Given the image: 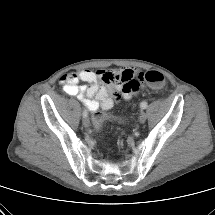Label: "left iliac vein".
Wrapping results in <instances>:
<instances>
[{"mask_svg": "<svg viewBox=\"0 0 215 215\" xmlns=\"http://www.w3.org/2000/svg\"><path fill=\"white\" fill-rule=\"evenodd\" d=\"M146 118H147L146 113L144 111H141L140 116H139L140 123L141 124L145 123Z\"/></svg>", "mask_w": 215, "mask_h": 215, "instance_id": "obj_1", "label": "left iliac vein"}]
</instances>
